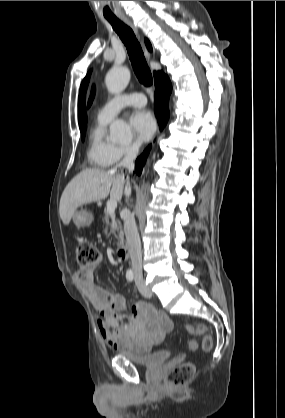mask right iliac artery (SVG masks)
<instances>
[{
	"instance_id": "1",
	"label": "right iliac artery",
	"mask_w": 285,
	"mask_h": 418,
	"mask_svg": "<svg viewBox=\"0 0 285 418\" xmlns=\"http://www.w3.org/2000/svg\"><path fill=\"white\" fill-rule=\"evenodd\" d=\"M126 278H127L128 281H132L134 279V273H133L132 270H128L126 272Z\"/></svg>"
}]
</instances>
